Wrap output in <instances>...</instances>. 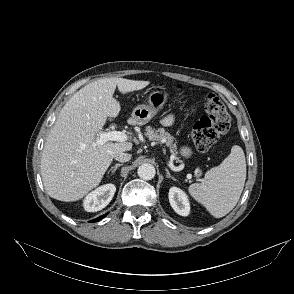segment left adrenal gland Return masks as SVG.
Here are the masks:
<instances>
[{
    "label": "left adrenal gland",
    "instance_id": "left-adrenal-gland-1",
    "mask_svg": "<svg viewBox=\"0 0 294 294\" xmlns=\"http://www.w3.org/2000/svg\"><path fill=\"white\" fill-rule=\"evenodd\" d=\"M165 170H166V173H167L166 177L175 180V178L173 176H171L169 170L167 168Z\"/></svg>",
    "mask_w": 294,
    "mask_h": 294
}]
</instances>
